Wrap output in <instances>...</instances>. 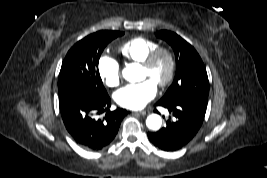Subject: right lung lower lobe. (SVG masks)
<instances>
[{
	"label": "right lung lower lobe",
	"instance_id": "obj_1",
	"mask_svg": "<svg viewBox=\"0 0 267 178\" xmlns=\"http://www.w3.org/2000/svg\"><path fill=\"white\" fill-rule=\"evenodd\" d=\"M110 107L107 95H97L85 90H70L59 94V108L64 125L81 147L98 151L115 138L122 119L128 114L117 108L100 115Z\"/></svg>",
	"mask_w": 267,
	"mask_h": 178
}]
</instances>
